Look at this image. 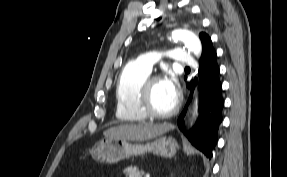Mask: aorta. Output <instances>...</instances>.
<instances>
[{
    "instance_id": "762f6f07",
    "label": "aorta",
    "mask_w": 287,
    "mask_h": 177,
    "mask_svg": "<svg viewBox=\"0 0 287 177\" xmlns=\"http://www.w3.org/2000/svg\"><path fill=\"white\" fill-rule=\"evenodd\" d=\"M172 38L175 40H181L185 46L192 51L195 55H200L202 46L199 38L192 32L187 30H175L172 32ZM197 110V102H196Z\"/></svg>"
}]
</instances>
